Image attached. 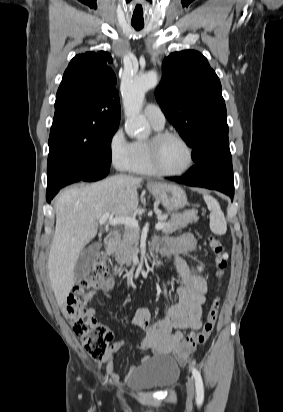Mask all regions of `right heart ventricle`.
<instances>
[{
	"label": "right heart ventricle",
	"instance_id": "e07e8e85",
	"mask_svg": "<svg viewBox=\"0 0 283 412\" xmlns=\"http://www.w3.org/2000/svg\"><path fill=\"white\" fill-rule=\"evenodd\" d=\"M153 129L158 132L163 127H157L151 124ZM148 139L135 140L131 143V158L127 170L131 173L140 175H153L155 171L150 163Z\"/></svg>",
	"mask_w": 283,
	"mask_h": 412
}]
</instances>
